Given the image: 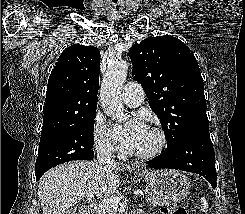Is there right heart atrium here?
I'll use <instances>...</instances> for the list:
<instances>
[{
  "instance_id": "1",
  "label": "right heart atrium",
  "mask_w": 245,
  "mask_h": 214,
  "mask_svg": "<svg viewBox=\"0 0 245 214\" xmlns=\"http://www.w3.org/2000/svg\"><path fill=\"white\" fill-rule=\"evenodd\" d=\"M93 138L97 153L104 157L114 155L116 146L108 125L101 119L96 118L93 124Z\"/></svg>"
}]
</instances>
